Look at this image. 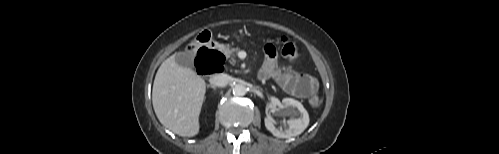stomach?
<instances>
[{"label":"stomach","mask_w":499,"mask_h":154,"mask_svg":"<svg viewBox=\"0 0 499 154\" xmlns=\"http://www.w3.org/2000/svg\"><path fill=\"white\" fill-rule=\"evenodd\" d=\"M232 37H234V38H238V37H239V36H238V33H237L236 31H235V32H233V33H232Z\"/></svg>","instance_id":"0dacf381"}]
</instances>
